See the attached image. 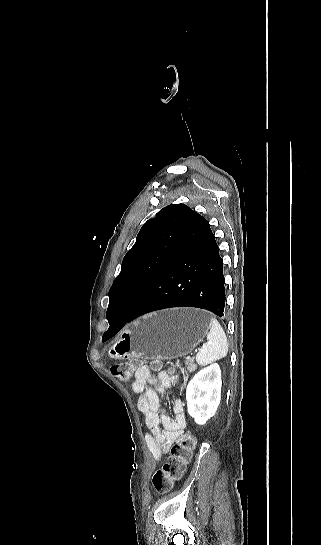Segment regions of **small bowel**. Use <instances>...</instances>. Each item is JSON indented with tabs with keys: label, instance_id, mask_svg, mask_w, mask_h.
Wrapping results in <instances>:
<instances>
[{
	"label": "small bowel",
	"instance_id": "small-bowel-1",
	"mask_svg": "<svg viewBox=\"0 0 321 545\" xmlns=\"http://www.w3.org/2000/svg\"><path fill=\"white\" fill-rule=\"evenodd\" d=\"M177 376L168 370L154 375L148 365H141L135 373L132 388L138 394V409L145 415L149 433L145 439L156 462L166 454L173 442L183 434L187 421L182 400H175L172 416L163 408L160 394L174 384Z\"/></svg>",
	"mask_w": 321,
	"mask_h": 545
}]
</instances>
